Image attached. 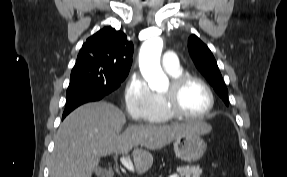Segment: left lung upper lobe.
Returning <instances> with one entry per match:
<instances>
[{
	"label": "left lung upper lobe",
	"instance_id": "1",
	"mask_svg": "<svg viewBox=\"0 0 287 177\" xmlns=\"http://www.w3.org/2000/svg\"><path fill=\"white\" fill-rule=\"evenodd\" d=\"M188 48L192 60L198 70L205 76L213 86L216 93L228 105V90L219 71L217 62L206 44L196 35H191L188 39Z\"/></svg>",
	"mask_w": 287,
	"mask_h": 177
}]
</instances>
